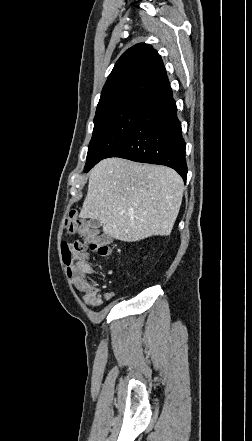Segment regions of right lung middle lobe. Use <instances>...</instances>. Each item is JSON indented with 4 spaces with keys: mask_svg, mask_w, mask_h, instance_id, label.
Returning a JSON list of instances; mask_svg holds the SVG:
<instances>
[{
    "mask_svg": "<svg viewBox=\"0 0 252 441\" xmlns=\"http://www.w3.org/2000/svg\"><path fill=\"white\" fill-rule=\"evenodd\" d=\"M146 99L132 100L96 113L84 172L104 159L137 123Z\"/></svg>",
    "mask_w": 252,
    "mask_h": 441,
    "instance_id": "1",
    "label": "right lung middle lobe"
}]
</instances>
